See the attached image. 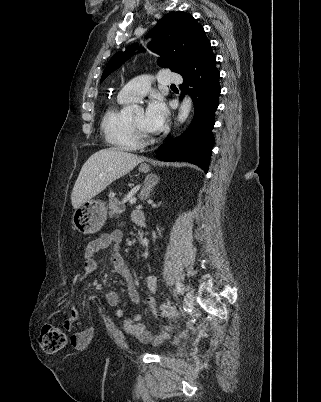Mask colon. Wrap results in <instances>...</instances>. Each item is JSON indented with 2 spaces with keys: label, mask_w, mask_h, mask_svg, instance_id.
Listing matches in <instances>:
<instances>
[{
  "label": "colon",
  "mask_w": 321,
  "mask_h": 402,
  "mask_svg": "<svg viewBox=\"0 0 321 402\" xmlns=\"http://www.w3.org/2000/svg\"><path fill=\"white\" fill-rule=\"evenodd\" d=\"M159 316L173 318L178 311L171 302H164L159 307ZM67 336L64 331L55 324L47 323L43 326L40 335V345L46 353H57L65 348Z\"/></svg>",
  "instance_id": "obj_1"
}]
</instances>
